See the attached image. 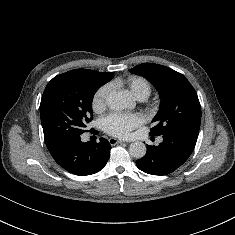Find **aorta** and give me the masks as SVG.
Returning <instances> with one entry per match:
<instances>
[{"label":"aorta","instance_id":"762f6f07","mask_svg":"<svg viewBox=\"0 0 235 235\" xmlns=\"http://www.w3.org/2000/svg\"><path fill=\"white\" fill-rule=\"evenodd\" d=\"M106 103L111 110H124L130 107L128 98L122 93L109 94ZM129 153L132 157L140 159L146 154V146L143 142L136 141L130 144Z\"/></svg>","mask_w":235,"mask_h":235}]
</instances>
